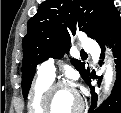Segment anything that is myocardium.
<instances>
[{"label": "myocardium", "instance_id": "f54148a6", "mask_svg": "<svg viewBox=\"0 0 121 113\" xmlns=\"http://www.w3.org/2000/svg\"><path fill=\"white\" fill-rule=\"evenodd\" d=\"M60 89H69L74 92L77 96L78 104L75 109L71 110L70 113H77L84 109V100L79 91L73 87L71 84L64 81H57L52 83L44 93V109L52 111L55 105V93ZM52 113V112H46Z\"/></svg>", "mask_w": 121, "mask_h": 113}]
</instances>
